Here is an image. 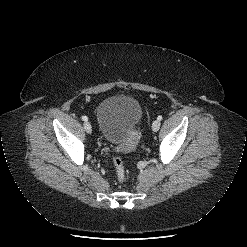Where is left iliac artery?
Listing matches in <instances>:
<instances>
[{
  "label": "left iliac artery",
  "mask_w": 247,
  "mask_h": 247,
  "mask_svg": "<svg viewBox=\"0 0 247 247\" xmlns=\"http://www.w3.org/2000/svg\"><path fill=\"white\" fill-rule=\"evenodd\" d=\"M157 119H158L159 121H161V120L163 119V117L160 115V116L157 117Z\"/></svg>",
  "instance_id": "left-iliac-artery-1"
}]
</instances>
